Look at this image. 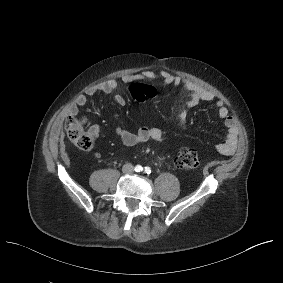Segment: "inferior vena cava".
<instances>
[{
    "label": "inferior vena cava",
    "mask_w": 283,
    "mask_h": 283,
    "mask_svg": "<svg viewBox=\"0 0 283 283\" xmlns=\"http://www.w3.org/2000/svg\"><path fill=\"white\" fill-rule=\"evenodd\" d=\"M126 166L132 167V170H133V166H132L131 164H126V165H124V167H126Z\"/></svg>",
    "instance_id": "602c4592"
}]
</instances>
